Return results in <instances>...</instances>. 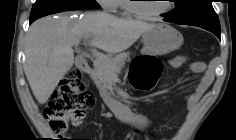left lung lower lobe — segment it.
I'll list each match as a JSON object with an SVG mask.
<instances>
[{
    "label": "left lung lower lobe",
    "instance_id": "left-lung-lower-lobe-1",
    "mask_svg": "<svg viewBox=\"0 0 236 140\" xmlns=\"http://www.w3.org/2000/svg\"><path fill=\"white\" fill-rule=\"evenodd\" d=\"M164 21L169 22L167 18H165ZM212 33H213V32H212ZM214 34L220 39V33H214Z\"/></svg>",
    "mask_w": 236,
    "mask_h": 140
}]
</instances>
